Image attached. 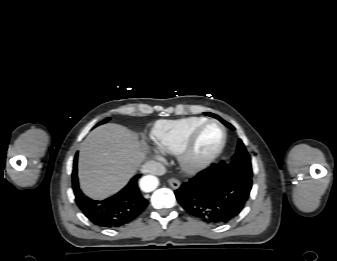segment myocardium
<instances>
[{
  "label": "myocardium",
  "instance_id": "myocardium-1",
  "mask_svg": "<svg viewBox=\"0 0 337 261\" xmlns=\"http://www.w3.org/2000/svg\"><path fill=\"white\" fill-rule=\"evenodd\" d=\"M209 125H216L221 131V141L219 145L208 155L202 158H196L193 154L194 146L199 134ZM227 141V132L225 127L217 120H206L197 126L186 139L182 149L178 153L180 166L189 173L200 172L210 166L223 152Z\"/></svg>",
  "mask_w": 337,
  "mask_h": 261
}]
</instances>
